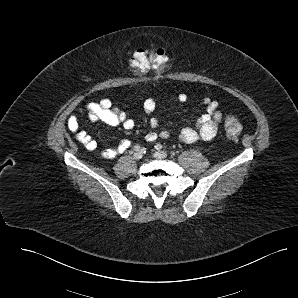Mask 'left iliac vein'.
Segmentation results:
<instances>
[{
	"mask_svg": "<svg viewBox=\"0 0 298 298\" xmlns=\"http://www.w3.org/2000/svg\"><path fill=\"white\" fill-rule=\"evenodd\" d=\"M153 156L157 159H164L167 157V153L164 151H156L153 153Z\"/></svg>",
	"mask_w": 298,
	"mask_h": 298,
	"instance_id": "1",
	"label": "left iliac vein"
}]
</instances>
